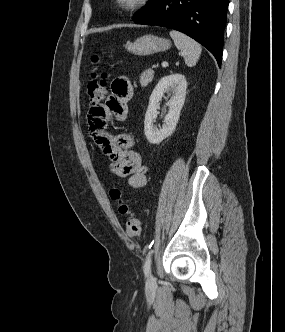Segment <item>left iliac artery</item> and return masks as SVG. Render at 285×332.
<instances>
[{
    "label": "left iliac artery",
    "mask_w": 285,
    "mask_h": 332,
    "mask_svg": "<svg viewBox=\"0 0 285 332\" xmlns=\"http://www.w3.org/2000/svg\"><path fill=\"white\" fill-rule=\"evenodd\" d=\"M151 262H152V251L149 252L147 258H146V261H145V264H144V272H145V275H149L150 273V270H151Z\"/></svg>",
    "instance_id": "left-iliac-artery-1"
}]
</instances>
